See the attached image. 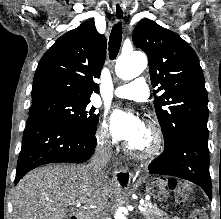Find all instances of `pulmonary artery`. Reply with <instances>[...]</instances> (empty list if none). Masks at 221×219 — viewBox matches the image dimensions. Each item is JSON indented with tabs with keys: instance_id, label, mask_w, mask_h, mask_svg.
<instances>
[{
	"instance_id": "obj_1",
	"label": "pulmonary artery",
	"mask_w": 221,
	"mask_h": 219,
	"mask_svg": "<svg viewBox=\"0 0 221 219\" xmlns=\"http://www.w3.org/2000/svg\"><path fill=\"white\" fill-rule=\"evenodd\" d=\"M114 96L135 101H146L149 97V90L143 77H136L132 82L116 87Z\"/></svg>"
}]
</instances>
